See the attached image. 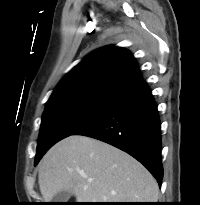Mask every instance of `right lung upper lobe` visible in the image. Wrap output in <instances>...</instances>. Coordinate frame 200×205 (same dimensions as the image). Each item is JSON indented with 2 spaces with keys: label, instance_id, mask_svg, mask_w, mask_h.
<instances>
[{
  "label": "right lung upper lobe",
  "instance_id": "1",
  "mask_svg": "<svg viewBox=\"0 0 200 205\" xmlns=\"http://www.w3.org/2000/svg\"><path fill=\"white\" fill-rule=\"evenodd\" d=\"M142 81L132 54L119 47L97 49L57 85L47 106L75 97L116 99Z\"/></svg>",
  "mask_w": 200,
  "mask_h": 205
}]
</instances>
